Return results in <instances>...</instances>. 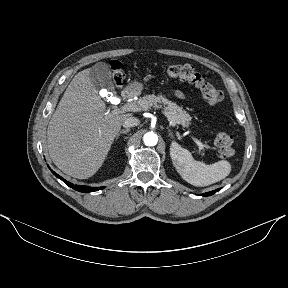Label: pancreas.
<instances>
[{
    "instance_id": "cf45deb5",
    "label": "pancreas",
    "mask_w": 288,
    "mask_h": 288,
    "mask_svg": "<svg viewBox=\"0 0 288 288\" xmlns=\"http://www.w3.org/2000/svg\"><path fill=\"white\" fill-rule=\"evenodd\" d=\"M135 104L143 111L160 104L166 105V110L175 124L188 127L190 124V115L178 106L176 103L169 101L162 95L156 96L155 94L145 95L135 101Z\"/></svg>"
}]
</instances>
